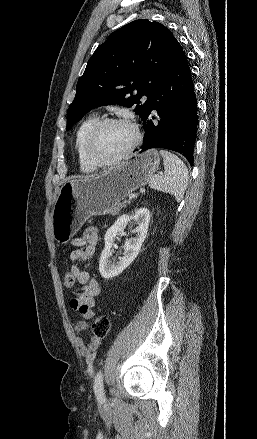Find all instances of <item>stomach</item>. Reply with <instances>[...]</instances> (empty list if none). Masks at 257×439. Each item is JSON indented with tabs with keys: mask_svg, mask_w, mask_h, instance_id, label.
Instances as JSON below:
<instances>
[{
	"mask_svg": "<svg viewBox=\"0 0 257 439\" xmlns=\"http://www.w3.org/2000/svg\"><path fill=\"white\" fill-rule=\"evenodd\" d=\"M160 163L157 150L134 153L98 175L64 182L51 217L57 243L66 244L93 215H105L128 194L146 185Z\"/></svg>",
	"mask_w": 257,
	"mask_h": 439,
	"instance_id": "1",
	"label": "stomach"
}]
</instances>
